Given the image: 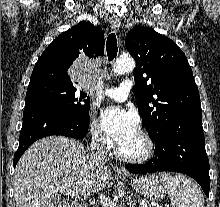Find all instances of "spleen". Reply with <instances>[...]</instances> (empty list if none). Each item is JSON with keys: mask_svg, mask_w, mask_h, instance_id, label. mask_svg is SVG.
<instances>
[{"mask_svg": "<svg viewBox=\"0 0 220 207\" xmlns=\"http://www.w3.org/2000/svg\"><path fill=\"white\" fill-rule=\"evenodd\" d=\"M173 207H204V198L199 186L183 175L162 173Z\"/></svg>", "mask_w": 220, "mask_h": 207, "instance_id": "1", "label": "spleen"}]
</instances>
